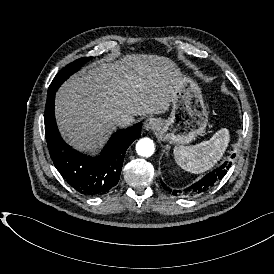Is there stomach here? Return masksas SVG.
<instances>
[{
  "label": "stomach",
  "mask_w": 274,
  "mask_h": 274,
  "mask_svg": "<svg viewBox=\"0 0 274 274\" xmlns=\"http://www.w3.org/2000/svg\"><path fill=\"white\" fill-rule=\"evenodd\" d=\"M207 124L208 112L201 88L193 79L181 74L174 88L170 116L162 120L157 133L159 139L177 146L185 145L202 135Z\"/></svg>",
  "instance_id": "1"
}]
</instances>
